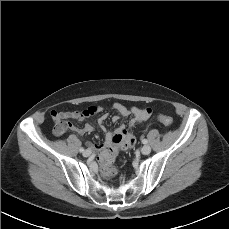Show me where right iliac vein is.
Wrapping results in <instances>:
<instances>
[{
  "instance_id": "obj_1",
  "label": "right iliac vein",
  "mask_w": 229,
  "mask_h": 229,
  "mask_svg": "<svg viewBox=\"0 0 229 229\" xmlns=\"http://www.w3.org/2000/svg\"><path fill=\"white\" fill-rule=\"evenodd\" d=\"M91 150H85L84 152H83V156L84 157H89L90 155H91Z\"/></svg>"
}]
</instances>
